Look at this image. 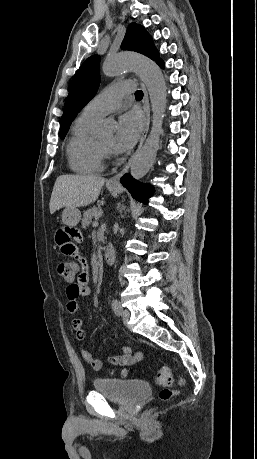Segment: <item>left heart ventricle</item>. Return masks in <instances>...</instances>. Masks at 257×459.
Segmentation results:
<instances>
[{"instance_id": "left-heart-ventricle-1", "label": "left heart ventricle", "mask_w": 257, "mask_h": 459, "mask_svg": "<svg viewBox=\"0 0 257 459\" xmlns=\"http://www.w3.org/2000/svg\"><path fill=\"white\" fill-rule=\"evenodd\" d=\"M103 145L107 146V147H111L112 144H113V135L112 134H109L107 136H104L102 137L100 140H99Z\"/></svg>"}]
</instances>
